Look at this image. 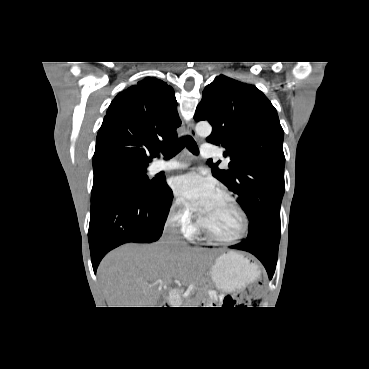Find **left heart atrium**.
<instances>
[{"instance_id": "obj_1", "label": "left heart atrium", "mask_w": 369, "mask_h": 369, "mask_svg": "<svg viewBox=\"0 0 369 369\" xmlns=\"http://www.w3.org/2000/svg\"><path fill=\"white\" fill-rule=\"evenodd\" d=\"M173 190L183 203L200 214L207 209L217 195L214 183L194 172L176 177Z\"/></svg>"}]
</instances>
